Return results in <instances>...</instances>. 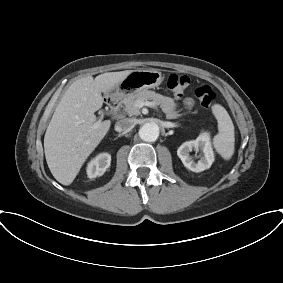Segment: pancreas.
Listing matches in <instances>:
<instances>
[{
  "mask_svg": "<svg viewBox=\"0 0 283 283\" xmlns=\"http://www.w3.org/2000/svg\"><path fill=\"white\" fill-rule=\"evenodd\" d=\"M147 100H152L157 105H160L168 119H176L181 116V114L176 111L177 104L174 102V99L149 90H142L126 95L123 99V104L125 105L124 111L129 116H138L140 114V110L137 106L138 101Z\"/></svg>",
  "mask_w": 283,
  "mask_h": 283,
  "instance_id": "pancreas-1",
  "label": "pancreas"
}]
</instances>
